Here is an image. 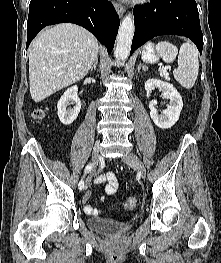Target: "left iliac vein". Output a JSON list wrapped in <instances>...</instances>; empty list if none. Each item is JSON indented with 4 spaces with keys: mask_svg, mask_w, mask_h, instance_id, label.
I'll return each mask as SVG.
<instances>
[{
    "mask_svg": "<svg viewBox=\"0 0 221 263\" xmlns=\"http://www.w3.org/2000/svg\"><path fill=\"white\" fill-rule=\"evenodd\" d=\"M122 161H124L125 163H127L128 165L135 167L141 178L145 179L146 178V169L145 166L143 165V163L139 160V158L133 154V153H127L122 157Z\"/></svg>",
    "mask_w": 221,
    "mask_h": 263,
    "instance_id": "4c4485c4",
    "label": "left iliac vein"
}]
</instances>
